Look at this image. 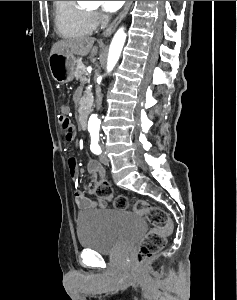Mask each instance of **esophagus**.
Returning <instances> with one entry per match:
<instances>
[{
  "mask_svg": "<svg viewBox=\"0 0 237 300\" xmlns=\"http://www.w3.org/2000/svg\"><path fill=\"white\" fill-rule=\"evenodd\" d=\"M132 1H126L125 6L123 8V10L121 11V13L115 18V20L109 24V26L105 29V31H103V36L107 37L110 36L115 29L117 28V26L119 25V23L122 21V19L126 16L130 6H131Z\"/></svg>",
  "mask_w": 237,
  "mask_h": 300,
  "instance_id": "obj_1",
  "label": "esophagus"
}]
</instances>
